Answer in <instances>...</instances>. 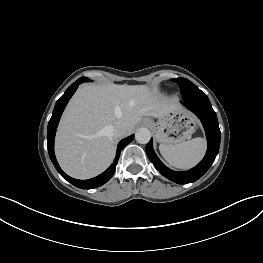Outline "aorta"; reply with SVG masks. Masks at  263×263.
<instances>
[{
    "label": "aorta",
    "instance_id": "obj_1",
    "mask_svg": "<svg viewBox=\"0 0 263 263\" xmlns=\"http://www.w3.org/2000/svg\"><path fill=\"white\" fill-rule=\"evenodd\" d=\"M135 139L140 144H146L151 139V132L148 128H139L135 133Z\"/></svg>",
    "mask_w": 263,
    "mask_h": 263
}]
</instances>
